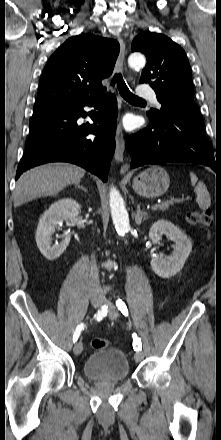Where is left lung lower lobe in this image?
I'll return each mask as SVG.
<instances>
[{"instance_id": "0a47b994", "label": "left lung lower lobe", "mask_w": 221, "mask_h": 440, "mask_svg": "<svg viewBox=\"0 0 221 440\" xmlns=\"http://www.w3.org/2000/svg\"><path fill=\"white\" fill-rule=\"evenodd\" d=\"M149 120V126L127 139L132 168L144 164L193 162L221 173V159L214 156L203 130V120L176 112Z\"/></svg>"}]
</instances>
